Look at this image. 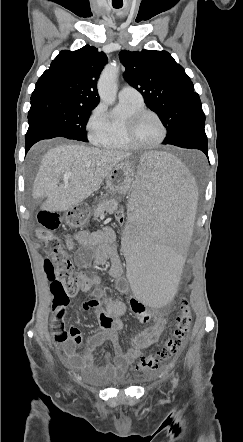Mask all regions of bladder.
<instances>
[{
  "mask_svg": "<svg viewBox=\"0 0 243 442\" xmlns=\"http://www.w3.org/2000/svg\"><path fill=\"white\" fill-rule=\"evenodd\" d=\"M131 383H132V380L130 378L122 377V378L113 379L109 383V386H111V387H121V386H128Z\"/></svg>",
  "mask_w": 243,
  "mask_h": 442,
  "instance_id": "1",
  "label": "bladder"
}]
</instances>
